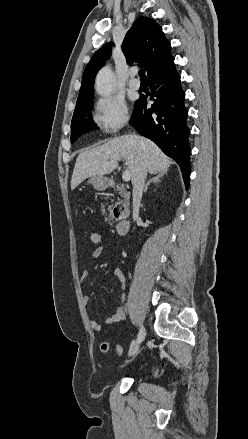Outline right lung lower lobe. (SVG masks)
I'll use <instances>...</instances> for the list:
<instances>
[{
	"instance_id": "right-lung-lower-lobe-1",
	"label": "right lung lower lobe",
	"mask_w": 248,
	"mask_h": 439,
	"mask_svg": "<svg viewBox=\"0 0 248 439\" xmlns=\"http://www.w3.org/2000/svg\"><path fill=\"white\" fill-rule=\"evenodd\" d=\"M149 87L150 99L154 103L150 108L147 107V98L141 96L135 102L129 123L178 163L188 189L191 172L188 143L190 131L186 125L188 111L184 106L185 93L180 86V75L175 64L151 74Z\"/></svg>"
}]
</instances>
